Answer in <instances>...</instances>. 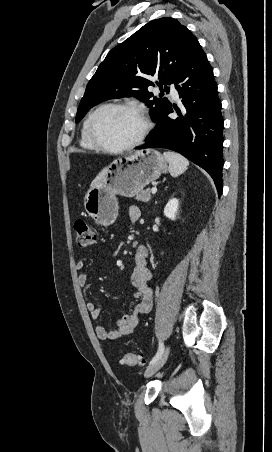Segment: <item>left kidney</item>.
Segmentation results:
<instances>
[{
  "mask_svg": "<svg viewBox=\"0 0 272 452\" xmlns=\"http://www.w3.org/2000/svg\"><path fill=\"white\" fill-rule=\"evenodd\" d=\"M178 209H179V200L176 198H172L168 201V203L166 204V206L164 208V215L168 219H171L174 221L176 219Z\"/></svg>",
  "mask_w": 272,
  "mask_h": 452,
  "instance_id": "left-kidney-1",
  "label": "left kidney"
}]
</instances>
